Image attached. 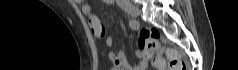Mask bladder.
Listing matches in <instances>:
<instances>
[{"label": "bladder", "mask_w": 238, "mask_h": 70, "mask_svg": "<svg viewBox=\"0 0 238 70\" xmlns=\"http://www.w3.org/2000/svg\"><path fill=\"white\" fill-rule=\"evenodd\" d=\"M111 70H118V69H116V68H112Z\"/></svg>", "instance_id": "1"}]
</instances>
